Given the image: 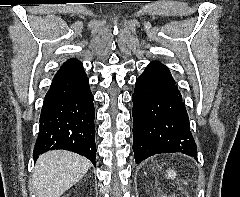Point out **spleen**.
Masks as SVG:
<instances>
[{
    "mask_svg": "<svg viewBox=\"0 0 240 197\" xmlns=\"http://www.w3.org/2000/svg\"><path fill=\"white\" fill-rule=\"evenodd\" d=\"M167 178L168 179H174L175 177H176V172H175V170L173 169H169V170H167Z\"/></svg>",
    "mask_w": 240,
    "mask_h": 197,
    "instance_id": "3e777b00",
    "label": "spleen"
}]
</instances>
